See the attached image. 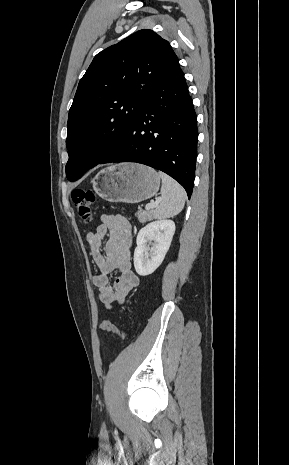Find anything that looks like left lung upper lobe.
Returning <instances> with one entry per match:
<instances>
[{"instance_id": "5c2ea615", "label": "left lung upper lobe", "mask_w": 289, "mask_h": 465, "mask_svg": "<svg viewBox=\"0 0 289 465\" xmlns=\"http://www.w3.org/2000/svg\"><path fill=\"white\" fill-rule=\"evenodd\" d=\"M179 68L168 41L143 29L98 53L69 110L66 176L96 166L120 141L145 96Z\"/></svg>"}]
</instances>
